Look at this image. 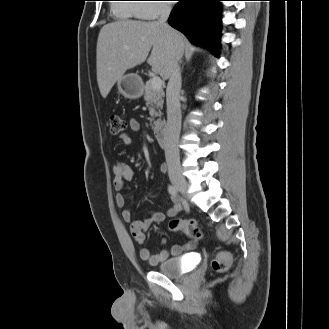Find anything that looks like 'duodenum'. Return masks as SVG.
<instances>
[{"instance_id":"duodenum-1","label":"duodenum","mask_w":329,"mask_h":329,"mask_svg":"<svg viewBox=\"0 0 329 329\" xmlns=\"http://www.w3.org/2000/svg\"><path fill=\"white\" fill-rule=\"evenodd\" d=\"M152 129L159 144L164 148H168L169 141L165 124L161 120H154Z\"/></svg>"}]
</instances>
